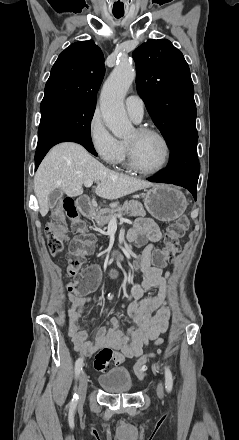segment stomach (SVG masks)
Returning <instances> with one entry per match:
<instances>
[{"label":"stomach","instance_id":"1","mask_svg":"<svg viewBox=\"0 0 239 440\" xmlns=\"http://www.w3.org/2000/svg\"><path fill=\"white\" fill-rule=\"evenodd\" d=\"M144 206L156 220L172 222L184 214L187 200L174 186H154L144 198Z\"/></svg>","mask_w":239,"mask_h":440}]
</instances>
